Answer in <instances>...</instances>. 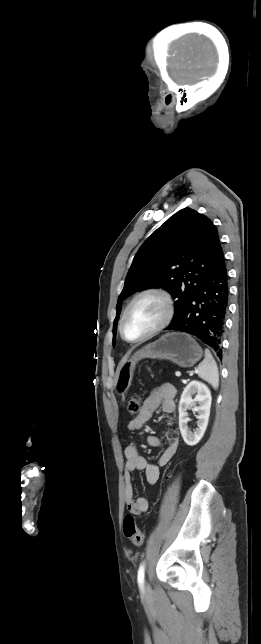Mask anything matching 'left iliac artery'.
Returning <instances> with one entry per match:
<instances>
[{
    "mask_svg": "<svg viewBox=\"0 0 261 644\" xmlns=\"http://www.w3.org/2000/svg\"><path fill=\"white\" fill-rule=\"evenodd\" d=\"M144 575H145V565L142 563L138 569L137 581L139 587L143 590L144 588Z\"/></svg>",
    "mask_w": 261,
    "mask_h": 644,
    "instance_id": "44dca946",
    "label": "left iliac artery"
}]
</instances>
